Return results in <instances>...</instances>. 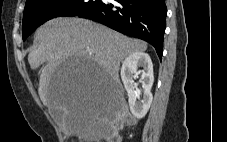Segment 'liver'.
<instances>
[{"mask_svg":"<svg viewBox=\"0 0 227 142\" xmlns=\"http://www.w3.org/2000/svg\"><path fill=\"white\" fill-rule=\"evenodd\" d=\"M37 47L28 55L31 69L46 63L39 79L38 93L49 109L65 114L62 127L66 133L80 134L83 122L95 118V102L102 85L119 89V69L124 58L147 49V43L129 38L106 26L82 18L60 17L49 20L35 33ZM60 61H93L97 78L92 88H63L52 73Z\"/></svg>","mask_w":227,"mask_h":142,"instance_id":"liver-1","label":"liver"}]
</instances>
